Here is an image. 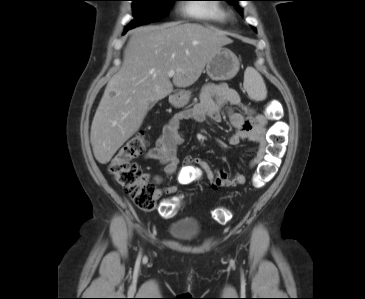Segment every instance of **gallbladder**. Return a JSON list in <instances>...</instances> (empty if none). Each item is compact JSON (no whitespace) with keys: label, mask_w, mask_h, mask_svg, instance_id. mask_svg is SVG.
Here are the masks:
<instances>
[{"label":"gallbladder","mask_w":365,"mask_h":299,"mask_svg":"<svg viewBox=\"0 0 365 299\" xmlns=\"http://www.w3.org/2000/svg\"><path fill=\"white\" fill-rule=\"evenodd\" d=\"M154 105H155V102L150 103L148 109H151Z\"/></svg>","instance_id":"bac80fb5"}]
</instances>
